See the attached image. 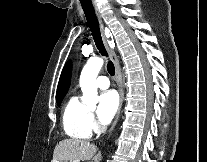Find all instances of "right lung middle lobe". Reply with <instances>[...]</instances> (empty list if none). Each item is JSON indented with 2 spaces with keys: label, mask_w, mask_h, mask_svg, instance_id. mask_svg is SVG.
Masks as SVG:
<instances>
[{
  "label": "right lung middle lobe",
  "mask_w": 207,
  "mask_h": 162,
  "mask_svg": "<svg viewBox=\"0 0 207 162\" xmlns=\"http://www.w3.org/2000/svg\"><path fill=\"white\" fill-rule=\"evenodd\" d=\"M61 101H62V98L61 99H58L57 100V104L60 105Z\"/></svg>",
  "instance_id": "1"
}]
</instances>
